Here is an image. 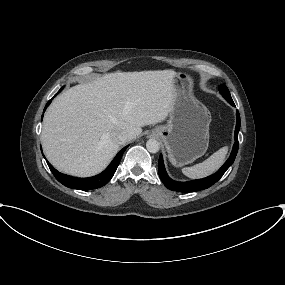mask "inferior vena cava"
<instances>
[{
  "label": "inferior vena cava",
  "instance_id": "1",
  "mask_svg": "<svg viewBox=\"0 0 285 285\" xmlns=\"http://www.w3.org/2000/svg\"><path fill=\"white\" fill-rule=\"evenodd\" d=\"M113 139L119 145L124 144L128 140V134L124 131H118L113 133Z\"/></svg>",
  "mask_w": 285,
  "mask_h": 285
}]
</instances>
